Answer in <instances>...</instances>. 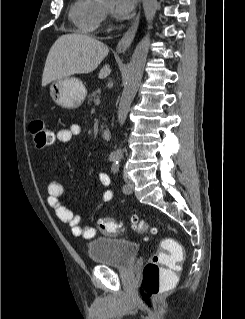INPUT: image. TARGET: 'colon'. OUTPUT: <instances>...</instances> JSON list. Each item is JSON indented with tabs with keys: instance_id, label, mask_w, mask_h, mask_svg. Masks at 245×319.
Segmentation results:
<instances>
[{
	"instance_id": "1",
	"label": "colon",
	"mask_w": 245,
	"mask_h": 319,
	"mask_svg": "<svg viewBox=\"0 0 245 319\" xmlns=\"http://www.w3.org/2000/svg\"><path fill=\"white\" fill-rule=\"evenodd\" d=\"M33 142L36 147L43 148L52 145L53 133L46 127L42 119H33L29 126ZM134 228L141 233L153 235L156 229L139 220L137 216L131 217ZM97 228L104 234L120 235L124 232L122 224L111 217H100ZM184 258L182 246L173 239H163L160 250L152 255L143 268V279L138 286V295L142 302L151 304L155 298L172 282L169 275L175 269V261Z\"/></svg>"
}]
</instances>
